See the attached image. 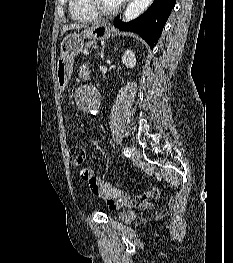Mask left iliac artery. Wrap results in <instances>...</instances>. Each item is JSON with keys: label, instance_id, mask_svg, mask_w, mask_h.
<instances>
[{"label": "left iliac artery", "instance_id": "1", "mask_svg": "<svg viewBox=\"0 0 233 263\" xmlns=\"http://www.w3.org/2000/svg\"><path fill=\"white\" fill-rule=\"evenodd\" d=\"M123 154H124L125 156H130V155H131V149L128 148V147L124 148V149H123Z\"/></svg>", "mask_w": 233, "mask_h": 263}]
</instances>
